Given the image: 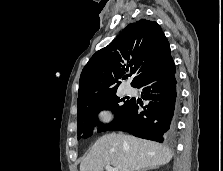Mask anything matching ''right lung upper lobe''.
Segmentation results:
<instances>
[{
    "label": "right lung upper lobe",
    "mask_w": 223,
    "mask_h": 171,
    "mask_svg": "<svg viewBox=\"0 0 223 171\" xmlns=\"http://www.w3.org/2000/svg\"><path fill=\"white\" fill-rule=\"evenodd\" d=\"M170 46L160 25L141 19L129 24L107 47L97 51L82 70L78 108L115 94L126 71L135 74L131 83L142 80L164 66L171 57Z\"/></svg>",
    "instance_id": "1"
}]
</instances>
